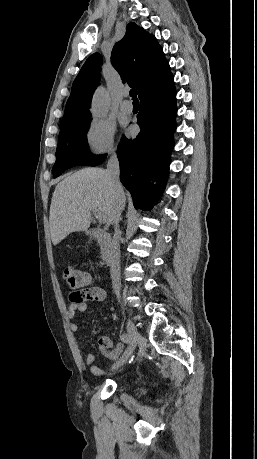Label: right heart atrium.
<instances>
[{
    "mask_svg": "<svg viewBox=\"0 0 257 459\" xmlns=\"http://www.w3.org/2000/svg\"><path fill=\"white\" fill-rule=\"evenodd\" d=\"M115 132V126L105 119L90 121L84 134L90 155L95 158L113 155L116 151Z\"/></svg>",
    "mask_w": 257,
    "mask_h": 459,
    "instance_id": "1",
    "label": "right heart atrium"
}]
</instances>
